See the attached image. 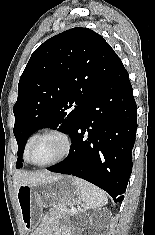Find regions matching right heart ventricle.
<instances>
[{"label":"right heart ventricle","instance_id":"e07e8e85","mask_svg":"<svg viewBox=\"0 0 155 235\" xmlns=\"http://www.w3.org/2000/svg\"><path fill=\"white\" fill-rule=\"evenodd\" d=\"M36 134H32L31 136L28 137L26 143H25V147H24V153H23V156H24V160L26 161V150L28 148V146L30 145L31 141L33 140V138L35 137Z\"/></svg>","mask_w":155,"mask_h":235}]
</instances>
